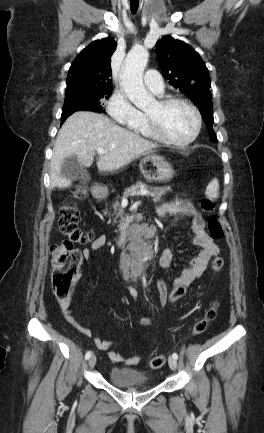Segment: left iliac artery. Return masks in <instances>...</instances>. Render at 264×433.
I'll list each match as a JSON object with an SVG mask.
<instances>
[{
  "instance_id": "left-iliac-artery-1",
  "label": "left iliac artery",
  "mask_w": 264,
  "mask_h": 433,
  "mask_svg": "<svg viewBox=\"0 0 264 433\" xmlns=\"http://www.w3.org/2000/svg\"><path fill=\"white\" fill-rule=\"evenodd\" d=\"M172 357L175 358L176 360L178 359V354L177 353H173Z\"/></svg>"
}]
</instances>
